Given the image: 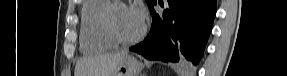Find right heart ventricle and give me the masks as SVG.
Wrapping results in <instances>:
<instances>
[{"instance_id": "right-heart-ventricle-1", "label": "right heart ventricle", "mask_w": 287, "mask_h": 76, "mask_svg": "<svg viewBox=\"0 0 287 76\" xmlns=\"http://www.w3.org/2000/svg\"><path fill=\"white\" fill-rule=\"evenodd\" d=\"M110 3V0H86L83 3L80 25V49L83 52H103L114 45L100 27L102 13Z\"/></svg>"}]
</instances>
